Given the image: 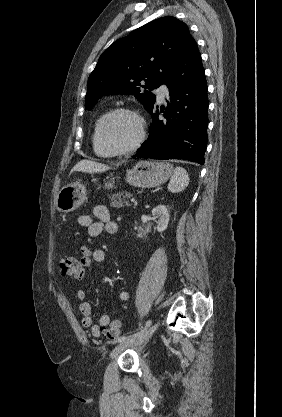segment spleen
I'll return each mask as SVG.
<instances>
[{
	"label": "spleen",
	"instance_id": "3e777b00",
	"mask_svg": "<svg viewBox=\"0 0 282 417\" xmlns=\"http://www.w3.org/2000/svg\"><path fill=\"white\" fill-rule=\"evenodd\" d=\"M189 184V176L187 170L182 166H176L174 170V176H171L168 184V190L170 192H180L183 188H186Z\"/></svg>",
	"mask_w": 282,
	"mask_h": 417
}]
</instances>
